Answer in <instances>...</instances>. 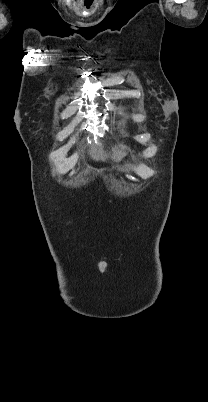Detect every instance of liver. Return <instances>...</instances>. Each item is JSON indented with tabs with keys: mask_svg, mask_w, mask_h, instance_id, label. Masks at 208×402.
Segmentation results:
<instances>
[{
	"mask_svg": "<svg viewBox=\"0 0 208 402\" xmlns=\"http://www.w3.org/2000/svg\"><path fill=\"white\" fill-rule=\"evenodd\" d=\"M89 154L93 160H96V162H99V160H102V162H105L107 158H109L110 154H106L105 150L99 146V148H95V146H91V150H89ZM122 156H125V154H122L121 150H118V148H112V154L110 158L114 160V162H118Z\"/></svg>",
	"mask_w": 208,
	"mask_h": 402,
	"instance_id": "obj_1",
	"label": "liver"
}]
</instances>
